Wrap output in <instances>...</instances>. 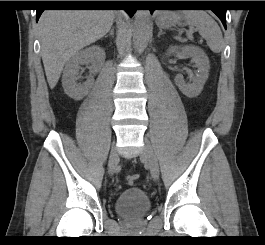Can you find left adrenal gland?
Masks as SVG:
<instances>
[{
    "mask_svg": "<svg viewBox=\"0 0 265 245\" xmlns=\"http://www.w3.org/2000/svg\"><path fill=\"white\" fill-rule=\"evenodd\" d=\"M162 34H164V32L162 31V29H159V33H158V37H160Z\"/></svg>",
    "mask_w": 265,
    "mask_h": 245,
    "instance_id": "a2214340",
    "label": "left adrenal gland"
}]
</instances>
